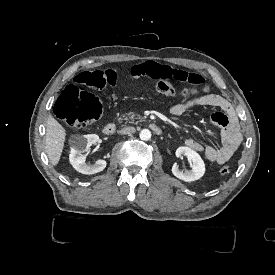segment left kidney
Masks as SVG:
<instances>
[{
    "instance_id": "left-kidney-1",
    "label": "left kidney",
    "mask_w": 275,
    "mask_h": 275,
    "mask_svg": "<svg viewBox=\"0 0 275 275\" xmlns=\"http://www.w3.org/2000/svg\"><path fill=\"white\" fill-rule=\"evenodd\" d=\"M176 156L180 157L181 155L186 156L189 160L193 162L192 170L187 172H182L179 170L178 165L176 163L172 166V173L177 178L186 181L191 182L200 179L204 173H205V164L200 155L192 150L189 147H179L176 150Z\"/></svg>"
}]
</instances>
